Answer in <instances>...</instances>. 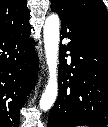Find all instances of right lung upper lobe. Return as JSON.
I'll use <instances>...</instances> for the list:
<instances>
[{
    "instance_id": "1",
    "label": "right lung upper lobe",
    "mask_w": 108,
    "mask_h": 127,
    "mask_svg": "<svg viewBox=\"0 0 108 127\" xmlns=\"http://www.w3.org/2000/svg\"><path fill=\"white\" fill-rule=\"evenodd\" d=\"M26 0H0V34L20 30L29 24Z\"/></svg>"
}]
</instances>
